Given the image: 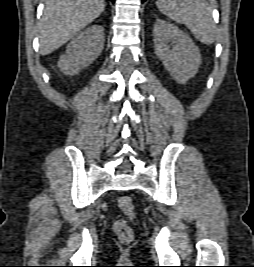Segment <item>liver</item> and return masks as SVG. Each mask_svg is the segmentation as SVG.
I'll return each mask as SVG.
<instances>
[{
  "label": "liver",
  "instance_id": "1",
  "mask_svg": "<svg viewBox=\"0 0 254 267\" xmlns=\"http://www.w3.org/2000/svg\"><path fill=\"white\" fill-rule=\"evenodd\" d=\"M104 0H45L39 23L41 55L67 43L104 11Z\"/></svg>",
  "mask_w": 254,
  "mask_h": 267
}]
</instances>
